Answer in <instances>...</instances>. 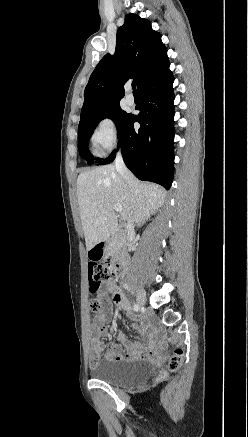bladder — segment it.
<instances>
[{
	"instance_id": "bladder-1",
	"label": "bladder",
	"mask_w": 248,
	"mask_h": 437,
	"mask_svg": "<svg viewBox=\"0 0 248 437\" xmlns=\"http://www.w3.org/2000/svg\"><path fill=\"white\" fill-rule=\"evenodd\" d=\"M154 371V364L148 360H104L93 371V375L112 386H128L146 381Z\"/></svg>"
}]
</instances>
